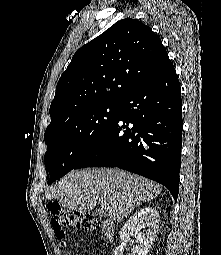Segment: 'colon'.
Masks as SVG:
<instances>
[{"mask_svg":"<svg viewBox=\"0 0 221 255\" xmlns=\"http://www.w3.org/2000/svg\"><path fill=\"white\" fill-rule=\"evenodd\" d=\"M50 211L52 213V228L56 237L62 241L63 247L68 246L65 241L68 228L89 230L93 227V218L89 215L63 211L56 204L50 206Z\"/></svg>","mask_w":221,"mask_h":255,"instance_id":"obj_1","label":"colon"}]
</instances>
